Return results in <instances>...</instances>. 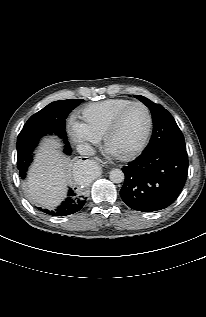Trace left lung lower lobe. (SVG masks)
<instances>
[{
    "instance_id": "left-lung-lower-lobe-1",
    "label": "left lung lower lobe",
    "mask_w": 206,
    "mask_h": 317,
    "mask_svg": "<svg viewBox=\"0 0 206 317\" xmlns=\"http://www.w3.org/2000/svg\"><path fill=\"white\" fill-rule=\"evenodd\" d=\"M122 200L132 209L153 212L173 203L180 194L188 173L186 149L166 146L143 152L124 166Z\"/></svg>"
}]
</instances>
